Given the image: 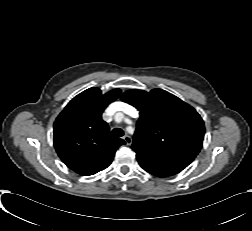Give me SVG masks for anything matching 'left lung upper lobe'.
Segmentation results:
<instances>
[{
    "label": "left lung upper lobe",
    "instance_id": "obj_1",
    "mask_svg": "<svg viewBox=\"0 0 252 231\" xmlns=\"http://www.w3.org/2000/svg\"><path fill=\"white\" fill-rule=\"evenodd\" d=\"M121 100L140 112L131 147L136 156L190 163L195 159L202 147L205 126L193 107L161 89L149 93L128 90Z\"/></svg>",
    "mask_w": 252,
    "mask_h": 231
}]
</instances>
